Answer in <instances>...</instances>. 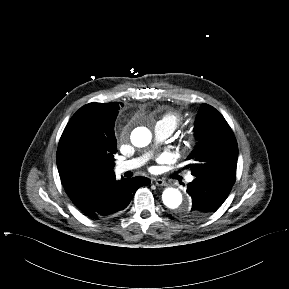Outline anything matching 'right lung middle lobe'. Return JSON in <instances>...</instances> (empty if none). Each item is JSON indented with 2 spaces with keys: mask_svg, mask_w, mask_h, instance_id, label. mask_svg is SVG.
<instances>
[{
  "mask_svg": "<svg viewBox=\"0 0 289 289\" xmlns=\"http://www.w3.org/2000/svg\"><path fill=\"white\" fill-rule=\"evenodd\" d=\"M120 109L114 103H89L70 119L61 136L67 153L80 161L102 162L114 160L117 141L115 120Z\"/></svg>",
  "mask_w": 289,
  "mask_h": 289,
  "instance_id": "right-lung-middle-lobe-1",
  "label": "right lung middle lobe"
}]
</instances>
